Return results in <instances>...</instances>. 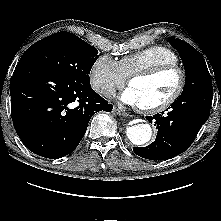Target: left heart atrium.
I'll list each match as a JSON object with an SVG mask.
<instances>
[{"mask_svg": "<svg viewBox=\"0 0 221 221\" xmlns=\"http://www.w3.org/2000/svg\"><path fill=\"white\" fill-rule=\"evenodd\" d=\"M121 100L127 104L139 106L138 97L130 86L121 94Z\"/></svg>", "mask_w": 221, "mask_h": 221, "instance_id": "39dd6f15", "label": "left heart atrium"}]
</instances>
